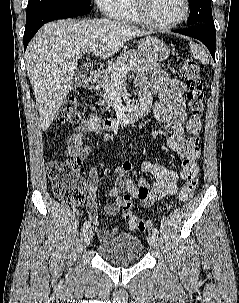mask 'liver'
Instances as JSON below:
<instances>
[{"instance_id":"1","label":"liver","mask_w":239,"mask_h":303,"mask_svg":"<svg viewBox=\"0 0 239 303\" xmlns=\"http://www.w3.org/2000/svg\"><path fill=\"white\" fill-rule=\"evenodd\" d=\"M148 33L109 19L59 20L44 25L26 50L27 73L40 116L47 130L69 93L78 65L91 46L94 55L108 58L132 38Z\"/></svg>"}]
</instances>
